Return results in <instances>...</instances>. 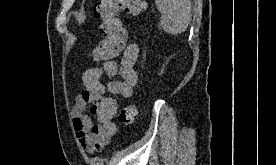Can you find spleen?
<instances>
[{
	"label": "spleen",
	"instance_id": "obj_1",
	"mask_svg": "<svg viewBox=\"0 0 276 165\" xmlns=\"http://www.w3.org/2000/svg\"><path fill=\"white\" fill-rule=\"evenodd\" d=\"M155 3L165 32L177 35L186 31L191 19L190 0H155Z\"/></svg>",
	"mask_w": 276,
	"mask_h": 165
}]
</instances>
